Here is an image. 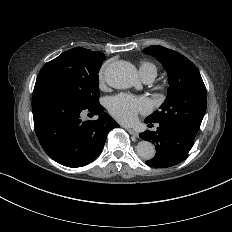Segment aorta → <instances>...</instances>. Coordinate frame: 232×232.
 Listing matches in <instances>:
<instances>
[{
    "mask_svg": "<svg viewBox=\"0 0 232 232\" xmlns=\"http://www.w3.org/2000/svg\"><path fill=\"white\" fill-rule=\"evenodd\" d=\"M104 78L115 89H126L136 84L135 70L124 61L110 63L104 72ZM136 152L140 158L150 160L155 155V147L151 142L142 140L137 144Z\"/></svg>",
    "mask_w": 232,
    "mask_h": 232,
    "instance_id": "obj_1",
    "label": "aorta"
}]
</instances>
